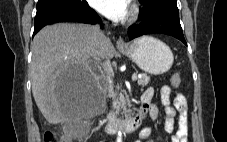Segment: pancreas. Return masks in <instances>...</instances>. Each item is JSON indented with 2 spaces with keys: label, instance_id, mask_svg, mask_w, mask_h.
Listing matches in <instances>:
<instances>
[{
  "label": "pancreas",
  "instance_id": "1",
  "mask_svg": "<svg viewBox=\"0 0 227 142\" xmlns=\"http://www.w3.org/2000/svg\"><path fill=\"white\" fill-rule=\"evenodd\" d=\"M150 81L149 76L147 74H141V77L138 79L137 83L140 86H146ZM113 107L116 112L120 110L127 111L126 107L129 106V99L126 94L120 92L119 94H113Z\"/></svg>",
  "mask_w": 227,
  "mask_h": 142
}]
</instances>
